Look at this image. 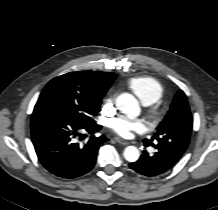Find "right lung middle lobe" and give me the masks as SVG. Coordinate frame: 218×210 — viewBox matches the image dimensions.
I'll return each instance as SVG.
<instances>
[{
	"label": "right lung middle lobe",
	"mask_w": 218,
	"mask_h": 210,
	"mask_svg": "<svg viewBox=\"0 0 218 210\" xmlns=\"http://www.w3.org/2000/svg\"><path fill=\"white\" fill-rule=\"evenodd\" d=\"M102 97L78 90L56 77L43 89L33 113L54 112L85 124L95 122Z\"/></svg>",
	"instance_id": "dd1d6c3e"
}]
</instances>
